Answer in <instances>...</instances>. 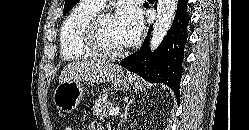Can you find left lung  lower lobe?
Returning a JSON list of instances; mask_svg holds the SVG:
<instances>
[{"label":"left lung lower lobe","mask_w":249,"mask_h":130,"mask_svg":"<svg viewBox=\"0 0 249 130\" xmlns=\"http://www.w3.org/2000/svg\"><path fill=\"white\" fill-rule=\"evenodd\" d=\"M187 3L188 0H178L173 24L155 52H150L151 27H149L146 40L141 48L128 59L120 62L121 66L138 74L148 82L163 83L169 86L176 94L178 103L184 49L188 37L187 27L190 21Z\"/></svg>","instance_id":"1"}]
</instances>
